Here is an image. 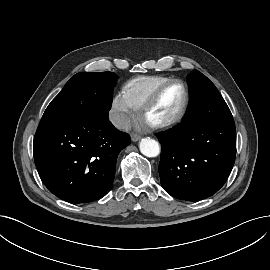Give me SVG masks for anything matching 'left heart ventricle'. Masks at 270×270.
I'll use <instances>...</instances> for the list:
<instances>
[{
    "mask_svg": "<svg viewBox=\"0 0 270 270\" xmlns=\"http://www.w3.org/2000/svg\"><path fill=\"white\" fill-rule=\"evenodd\" d=\"M184 98L183 88L179 84H173L166 88L158 102L148 113L146 120L157 122L170 116L182 103Z\"/></svg>",
    "mask_w": 270,
    "mask_h": 270,
    "instance_id": "1",
    "label": "left heart ventricle"
}]
</instances>
